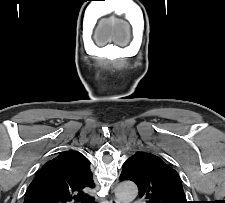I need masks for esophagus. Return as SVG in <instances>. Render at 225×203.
<instances>
[{"instance_id":"34e87169","label":"esophagus","mask_w":225,"mask_h":203,"mask_svg":"<svg viewBox=\"0 0 225 203\" xmlns=\"http://www.w3.org/2000/svg\"><path fill=\"white\" fill-rule=\"evenodd\" d=\"M110 203H119L115 198L110 200Z\"/></svg>"}]
</instances>
